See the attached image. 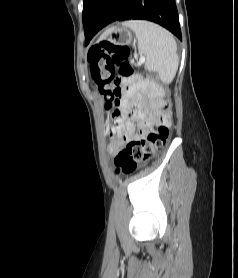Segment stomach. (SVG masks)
Here are the masks:
<instances>
[{
    "instance_id": "stomach-1",
    "label": "stomach",
    "mask_w": 238,
    "mask_h": 278,
    "mask_svg": "<svg viewBox=\"0 0 238 278\" xmlns=\"http://www.w3.org/2000/svg\"><path fill=\"white\" fill-rule=\"evenodd\" d=\"M105 37L116 45H129L132 42V33L126 26H113L106 30Z\"/></svg>"
}]
</instances>
